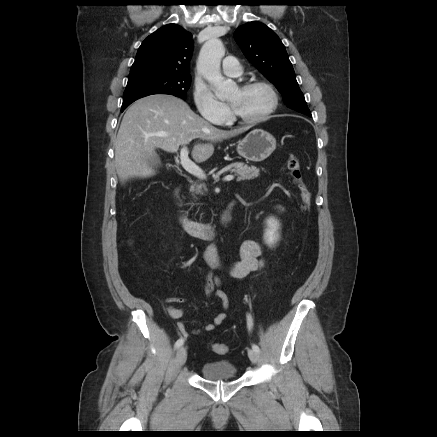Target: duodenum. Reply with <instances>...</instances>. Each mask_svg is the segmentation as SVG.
Returning a JSON list of instances; mask_svg holds the SVG:
<instances>
[{"label":"duodenum","instance_id":"1","mask_svg":"<svg viewBox=\"0 0 437 437\" xmlns=\"http://www.w3.org/2000/svg\"><path fill=\"white\" fill-rule=\"evenodd\" d=\"M175 198L177 204L178 218L181 226L192 236L201 238H210L214 236L215 229L211 224L200 222L189 218L184 212L179 200V189L175 191ZM235 202L232 201L228 204L221 216V223L226 226L231 219V209Z\"/></svg>","mask_w":437,"mask_h":437}]
</instances>
